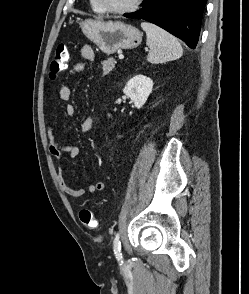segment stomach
Returning <instances> with one entry per match:
<instances>
[{"label":"stomach","instance_id":"0dacf381","mask_svg":"<svg viewBox=\"0 0 249 294\" xmlns=\"http://www.w3.org/2000/svg\"><path fill=\"white\" fill-rule=\"evenodd\" d=\"M81 28L84 35L106 54L135 48L142 41V34L136 27L120 21L86 19L81 22Z\"/></svg>","mask_w":249,"mask_h":294}]
</instances>
